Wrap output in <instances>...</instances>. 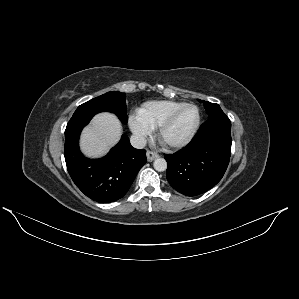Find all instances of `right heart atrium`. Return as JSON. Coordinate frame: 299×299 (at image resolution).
<instances>
[{"mask_svg": "<svg viewBox=\"0 0 299 299\" xmlns=\"http://www.w3.org/2000/svg\"><path fill=\"white\" fill-rule=\"evenodd\" d=\"M128 124L131 132L139 142H144L152 133V129L148 127L138 115H130Z\"/></svg>", "mask_w": 299, "mask_h": 299, "instance_id": "obj_1", "label": "right heart atrium"}]
</instances>
